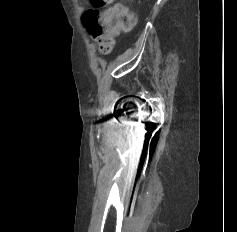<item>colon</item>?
Here are the masks:
<instances>
[{
  "label": "colon",
  "instance_id": "5ec220e1",
  "mask_svg": "<svg viewBox=\"0 0 237 232\" xmlns=\"http://www.w3.org/2000/svg\"><path fill=\"white\" fill-rule=\"evenodd\" d=\"M115 0H90L93 8L87 9L82 15V22L97 42L102 53H109L114 45L115 38L120 32L130 31L135 23L136 16L121 3ZM111 5L105 10L99 8Z\"/></svg>",
  "mask_w": 237,
  "mask_h": 232
}]
</instances>
